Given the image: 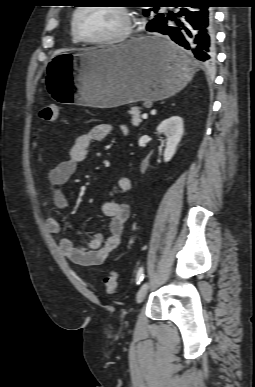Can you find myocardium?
<instances>
[{
    "label": "myocardium",
    "mask_w": 255,
    "mask_h": 387,
    "mask_svg": "<svg viewBox=\"0 0 255 387\" xmlns=\"http://www.w3.org/2000/svg\"><path fill=\"white\" fill-rule=\"evenodd\" d=\"M90 7L89 5H81L77 7L72 15L71 19V29L73 35L76 37V39L79 42L89 44V45H111V44H118L126 41L132 34L133 29H134V15L131 12V10L124 6V5H119V4H114L109 7H113L117 11L121 13L124 19V25L122 29L117 32L116 34L105 37V38H100V39H90L85 36H83L78 28L77 25V18L79 13L84 10L85 8Z\"/></svg>",
    "instance_id": "myocardium-1"
}]
</instances>
